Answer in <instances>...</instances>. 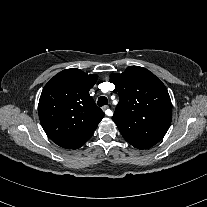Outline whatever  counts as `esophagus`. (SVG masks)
I'll list each match as a JSON object with an SVG mask.
<instances>
[{
  "mask_svg": "<svg viewBox=\"0 0 207 207\" xmlns=\"http://www.w3.org/2000/svg\"><path fill=\"white\" fill-rule=\"evenodd\" d=\"M102 110L105 112V114L107 116H111L112 115V111L109 109V106H107V105L103 106Z\"/></svg>",
  "mask_w": 207,
  "mask_h": 207,
  "instance_id": "esophagus-1",
  "label": "esophagus"
}]
</instances>
